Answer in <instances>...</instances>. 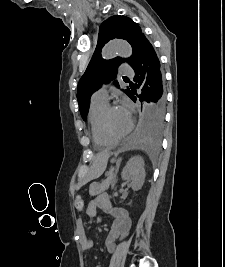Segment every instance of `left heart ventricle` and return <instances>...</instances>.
<instances>
[{"mask_svg":"<svg viewBox=\"0 0 225 267\" xmlns=\"http://www.w3.org/2000/svg\"><path fill=\"white\" fill-rule=\"evenodd\" d=\"M106 123L112 135L120 136L127 130L130 120L120 108H114L108 113Z\"/></svg>","mask_w":225,"mask_h":267,"instance_id":"obj_1","label":"left heart ventricle"}]
</instances>
